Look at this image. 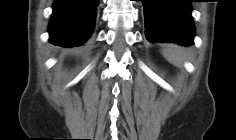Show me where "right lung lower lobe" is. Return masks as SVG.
<instances>
[{
  "mask_svg": "<svg viewBox=\"0 0 236 140\" xmlns=\"http://www.w3.org/2000/svg\"><path fill=\"white\" fill-rule=\"evenodd\" d=\"M99 0H54L49 41L61 47L80 46L92 34Z\"/></svg>",
  "mask_w": 236,
  "mask_h": 140,
  "instance_id": "right-lung-lower-lobe-1",
  "label": "right lung lower lobe"
}]
</instances>
